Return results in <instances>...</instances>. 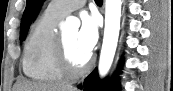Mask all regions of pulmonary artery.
Masks as SVG:
<instances>
[{"label":"pulmonary artery","mask_w":173,"mask_h":91,"mask_svg":"<svg viewBox=\"0 0 173 91\" xmlns=\"http://www.w3.org/2000/svg\"><path fill=\"white\" fill-rule=\"evenodd\" d=\"M85 0L64 1L57 0L51 1L48 10L52 13L65 17L71 12L81 8L85 4Z\"/></svg>","instance_id":"e3ab8cb5"}]
</instances>
